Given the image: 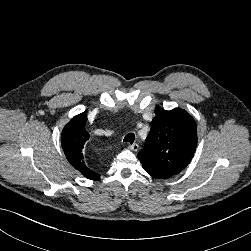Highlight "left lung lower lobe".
<instances>
[{"mask_svg": "<svg viewBox=\"0 0 251 251\" xmlns=\"http://www.w3.org/2000/svg\"><path fill=\"white\" fill-rule=\"evenodd\" d=\"M148 174H150L151 176L155 177V178H160V179H168L171 176H173L172 174H167V173H159V172H155V171H151V170H147L144 169Z\"/></svg>", "mask_w": 251, "mask_h": 251, "instance_id": "1", "label": "left lung lower lobe"}]
</instances>
